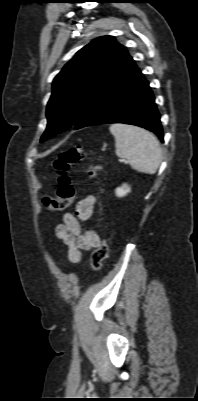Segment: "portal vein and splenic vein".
<instances>
[{
	"label": "portal vein and splenic vein",
	"mask_w": 198,
	"mask_h": 401,
	"mask_svg": "<svg viewBox=\"0 0 198 401\" xmlns=\"http://www.w3.org/2000/svg\"><path fill=\"white\" fill-rule=\"evenodd\" d=\"M119 161H120V162H125V160H124V159H119Z\"/></svg>",
	"instance_id": "18ae733b"
}]
</instances>
